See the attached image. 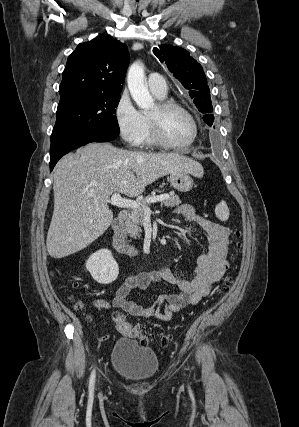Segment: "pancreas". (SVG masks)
Masks as SVG:
<instances>
[{
  "label": "pancreas",
  "mask_w": 299,
  "mask_h": 427,
  "mask_svg": "<svg viewBox=\"0 0 299 427\" xmlns=\"http://www.w3.org/2000/svg\"><path fill=\"white\" fill-rule=\"evenodd\" d=\"M152 197L153 195L147 196L144 200L140 202L141 203L140 208L132 209L130 220L125 225V231L130 237L137 238L140 236V232H142L140 226L143 224L144 215H145L143 207L150 206L151 203L148 202V200ZM180 203H181L180 198L177 195H175L173 192H171L168 195L167 199L162 201V204L165 205L166 207H175V206H178Z\"/></svg>",
  "instance_id": "obj_1"
}]
</instances>
